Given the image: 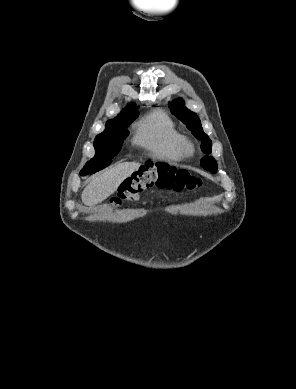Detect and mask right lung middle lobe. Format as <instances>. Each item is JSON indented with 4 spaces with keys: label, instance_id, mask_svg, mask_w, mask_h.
<instances>
[{
    "label": "right lung middle lobe",
    "instance_id": "dd1d6c3e",
    "mask_svg": "<svg viewBox=\"0 0 296 389\" xmlns=\"http://www.w3.org/2000/svg\"><path fill=\"white\" fill-rule=\"evenodd\" d=\"M139 112L134 110L125 113L106 123V129L97 135L94 141L95 156L84 168L96 169L97 171L108 166L112 158L118 154L123 144V140L128 136V125L138 117Z\"/></svg>",
    "mask_w": 296,
    "mask_h": 389
}]
</instances>
